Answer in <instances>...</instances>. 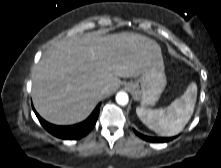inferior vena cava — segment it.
<instances>
[{"label":"inferior vena cava","mask_w":221,"mask_h":168,"mask_svg":"<svg viewBox=\"0 0 221 168\" xmlns=\"http://www.w3.org/2000/svg\"><path fill=\"white\" fill-rule=\"evenodd\" d=\"M106 90H107V88L105 87L102 89V92L104 93V92H106Z\"/></svg>","instance_id":"1"}]
</instances>
